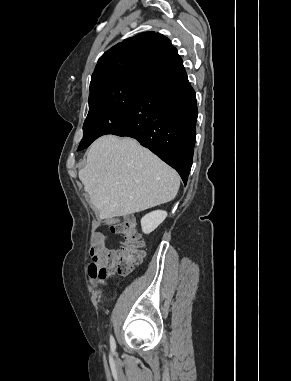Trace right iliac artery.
<instances>
[{"label": "right iliac artery", "mask_w": 291, "mask_h": 381, "mask_svg": "<svg viewBox=\"0 0 291 381\" xmlns=\"http://www.w3.org/2000/svg\"><path fill=\"white\" fill-rule=\"evenodd\" d=\"M111 346H112V348L115 347V341H114V338L112 336H111Z\"/></svg>", "instance_id": "82829eb1"}]
</instances>
